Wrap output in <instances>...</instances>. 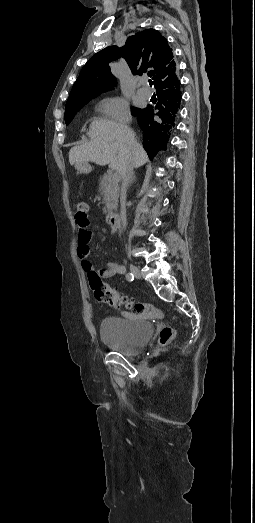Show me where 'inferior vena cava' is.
<instances>
[{
	"instance_id": "1",
	"label": "inferior vena cava",
	"mask_w": 255,
	"mask_h": 523,
	"mask_svg": "<svg viewBox=\"0 0 255 523\" xmlns=\"http://www.w3.org/2000/svg\"><path fill=\"white\" fill-rule=\"evenodd\" d=\"M133 176V164L131 158H128L125 166V170L121 172V178H122V186H121V194H120V200H121V212H120V224H121V230H125L126 228V194L128 190V186L130 184V180H132Z\"/></svg>"
}]
</instances>
